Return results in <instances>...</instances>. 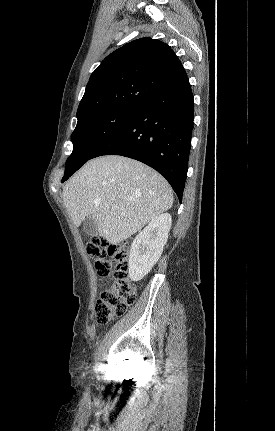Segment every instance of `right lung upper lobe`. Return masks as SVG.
Instances as JSON below:
<instances>
[{
  "mask_svg": "<svg viewBox=\"0 0 275 431\" xmlns=\"http://www.w3.org/2000/svg\"><path fill=\"white\" fill-rule=\"evenodd\" d=\"M186 77L167 44L147 37L134 40L108 55L92 73L77 118L115 107L139 108Z\"/></svg>",
  "mask_w": 275,
  "mask_h": 431,
  "instance_id": "right-lung-upper-lobe-1",
  "label": "right lung upper lobe"
}]
</instances>
